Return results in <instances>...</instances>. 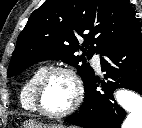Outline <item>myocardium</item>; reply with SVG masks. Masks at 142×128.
Here are the masks:
<instances>
[{"label":"myocardium","instance_id":"f54148a6","mask_svg":"<svg viewBox=\"0 0 142 128\" xmlns=\"http://www.w3.org/2000/svg\"><path fill=\"white\" fill-rule=\"evenodd\" d=\"M55 73L67 74L72 80L74 86V98L71 105L66 110L58 113H52L46 111L41 104V93L44 83L49 76ZM83 98H84V86L80 76L72 67L66 65H56L48 67L37 80L34 89V101H35L36 110L43 116L52 119H60L75 112L82 103Z\"/></svg>","mask_w":142,"mask_h":128}]
</instances>
